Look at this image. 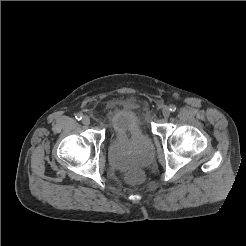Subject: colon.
Listing matches in <instances>:
<instances>
[{
	"label": "colon",
	"instance_id": "colon-1",
	"mask_svg": "<svg viewBox=\"0 0 246 246\" xmlns=\"http://www.w3.org/2000/svg\"><path fill=\"white\" fill-rule=\"evenodd\" d=\"M127 179L131 183H139L141 181V179H142V175L138 171H131V172L128 173Z\"/></svg>",
	"mask_w": 246,
	"mask_h": 246
}]
</instances>
